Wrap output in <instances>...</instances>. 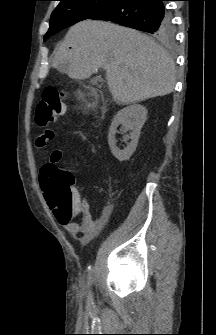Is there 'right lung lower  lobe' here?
Here are the masks:
<instances>
[{"label":"right lung lower lobe","mask_w":216,"mask_h":335,"mask_svg":"<svg viewBox=\"0 0 216 335\" xmlns=\"http://www.w3.org/2000/svg\"><path fill=\"white\" fill-rule=\"evenodd\" d=\"M164 1L116 0L91 19L112 21L156 36L171 25Z\"/></svg>","instance_id":"1"}]
</instances>
